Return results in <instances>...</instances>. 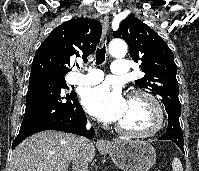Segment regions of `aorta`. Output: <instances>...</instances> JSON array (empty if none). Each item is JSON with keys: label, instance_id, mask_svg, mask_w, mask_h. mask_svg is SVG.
Here are the masks:
<instances>
[{"label": "aorta", "instance_id": "762f6f07", "mask_svg": "<svg viewBox=\"0 0 199 171\" xmlns=\"http://www.w3.org/2000/svg\"><path fill=\"white\" fill-rule=\"evenodd\" d=\"M109 51L113 56H124L127 53V45L121 39H114L109 44Z\"/></svg>", "mask_w": 199, "mask_h": 171}]
</instances>
